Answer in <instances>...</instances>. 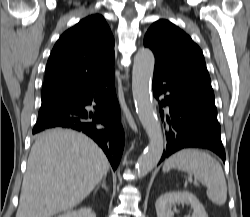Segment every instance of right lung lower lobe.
<instances>
[{
  "label": "right lung lower lobe",
  "mask_w": 250,
  "mask_h": 217,
  "mask_svg": "<svg viewBox=\"0 0 250 217\" xmlns=\"http://www.w3.org/2000/svg\"><path fill=\"white\" fill-rule=\"evenodd\" d=\"M96 104L94 111L85 109ZM105 128H99L97 125ZM49 128H69L90 136L105 152L113 169L120 163L124 132L114 86V71L87 87L42 102L32 133Z\"/></svg>",
  "instance_id": "right-lung-lower-lobe-1"
}]
</instances>
